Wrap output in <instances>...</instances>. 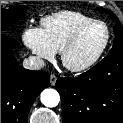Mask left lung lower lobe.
Returning a JSON list of instances; mask_svg holds the SVG:
<instances>
[{
  "label": "left lung lower lobe",
  "instance_id": "1",
  "mask_svg": "<svg viewBox=\"0 0 123 123\" xmlns=\"http://www.w3.org/2000/svg\"><path fill=\"white\" fill-rule=\"evenodd\" d=\"M63 123H123V51L71 78H58Z\"/></svg>",
  "mask_w": 123,
  "mask_h": 123
}]
</instances>
